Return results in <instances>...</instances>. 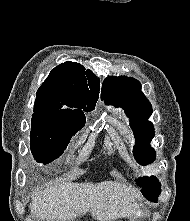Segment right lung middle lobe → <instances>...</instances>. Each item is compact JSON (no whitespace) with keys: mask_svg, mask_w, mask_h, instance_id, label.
I'll use <instances>...</instances> for the list:
<instances>
[{"mask_svg":"<svg viewBox=\"0 0 190 221\" xmlns=\"http://www.w3.org/2000/svg\"><path fill=\"white\" fill-rule=\"evenodd\" d=\"M84 125L85 120L68 122L56 117L32 116L30 147L35 160L48 164L57 159Z\"/></svg>","mask_w":190,"mask_h":221,"instance_id":"dd1d6c3e","label":"right lung middle lobe"}]
</instances>
